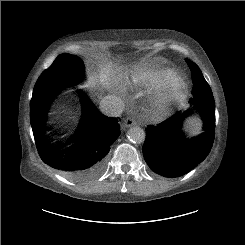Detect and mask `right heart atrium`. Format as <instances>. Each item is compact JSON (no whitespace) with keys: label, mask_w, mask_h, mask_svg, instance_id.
Returning a JSON list of instances; mask_svg holds the SVG:
<instances>
[{"label":"right heart atrium","mask_w":245,"mask_h":245,"mask_svg":"<svg viewBox=\"0 0 245 245\" xmlns=\"http://www.w3.org/2000/svg\"><path fill=\"white\" fill-rule=\"evenodd\" d=\"M124 90V84L123 82H120L118 85V91L122 92Z\"/></svg>","instance_id":"1"}]
</instances>
